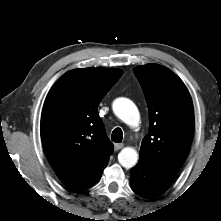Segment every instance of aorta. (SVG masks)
I'll return each instance as SVG.
<instances>
[{
	"label": "aorta",
	"instance_id": "762f6f07",
	"mask_svg": "<svg viewBox=\"0 0 221 221\" xmlns=\"http://www.w3.org/2000/svg\"><path fill=\"white\" fill-rule=\"evenodd\" d=\"M113 111L117 117L129 126H136L140 121L136 105L127 98H118L113 102ZM119 163L127 169L134 167L138 161V153L131 147L123 148L118 155Z\"/></svg>",
	"mask_w": 221,
	"mask_h": 221
}]
</instances>
